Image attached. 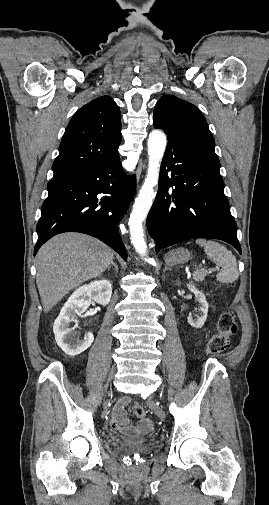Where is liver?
I'll return each mask as SVG.
<instances>
[{
    "label": "liver",
    "mask_w": 269,
    "mask_h": 505,
    "mask_svg": "<svg viewBox=\"0 0 269 505\" xmlns=\"http://www.w3.org/2000/svg\"><path fill=\"white\" fill-rule=\"evenodd\" d=\"M113 258L112 249L88 235L69 232L50 239L36 256V283L44 311L70 290L102 274Z\"/></svg>",
    "instance_id": "6515ba94"
}]
</instances>
